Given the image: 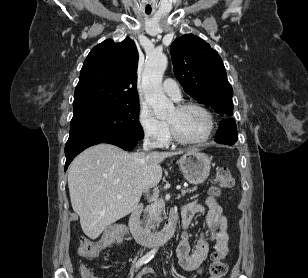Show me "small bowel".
<instances>
[{
	"label": "small bowel",
	"mask_w": 308,
	"mask_h": 278,
	"mask_svg": "<svg viewBox=\"0 0 308 278\" xmlns=\"http://www.w3.org/2000/svg\"><path fill=\"white\" fill-rule=\"evenodd\" d=\"M175 214L177 215V212ZM180 214L182 217L183 233L176 248L179 265L186 271L201 274L203 271V262L208 255L209 241H215V249L217 252L224 256L227 255V219L223 214L222 207L213 197H207L205 205H202L198 201L184 204L180 209ZM197 214L204 216L206 230L200 234L195 248L191 252L188 228L193 217ZM151 276L152 269L147 266L135 278H149Z\"/></svg>",
	"instance_id": "1"
}]
</instances>
